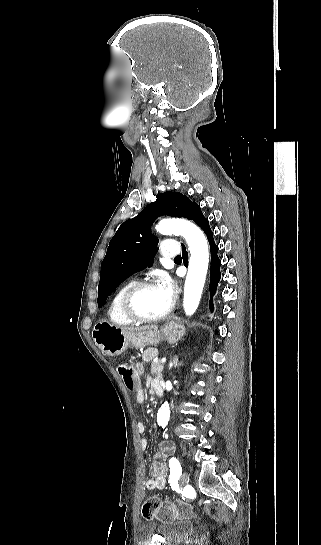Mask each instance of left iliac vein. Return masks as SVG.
I'll use <instances>...</instances> for the list:
<instances>
[{
    "mask_svg": "<svg viewBox=\"0 0 321 545\" xmlns=\"http://www.w3.org/2000/svg\"><path fill=\"white\" fill-rule=\"evenodd\" d=\"M189 481V476L186 472H183L179 479V484L181 487L185 486Z\"/></svg>",
    "mask_w": 321,
    "mask_h": 545,
    "instance_id": "1",
    "label": "left iliac vein"
}]
</instances>
